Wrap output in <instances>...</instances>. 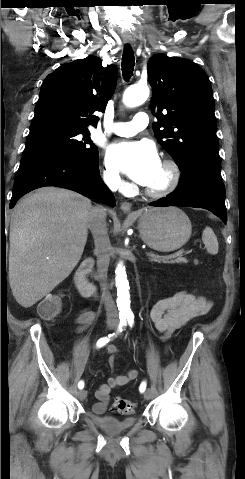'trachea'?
<instances>
[{"label": "trachea", "instance_id": "trachea-1", "mask_svg": "<svg viewBox=\"0 0 245 479\" xmlns=\"http://www.w3.org/2000/svg\"><path fill=\"white\" fill-rule=\"evenodd\" d=\"M135 65V57L132 51V48L129 45H126L123 51L122 56V73L126 80H128L132 76V72L134 70Z\"/></svg>", "mask_w": 245, "mask_h": 479}]
</instances>
